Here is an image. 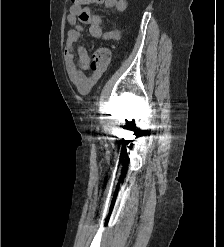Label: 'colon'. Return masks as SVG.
<instances>
[{
    "instance_id": "colon-1",
    "label": "colon",
    "mask_w": 224,
    "mask_h": 247,
    "mask_svg": "<svg viewBox=\"0 0 224 247\" xmlns=\"http://www.w3.org/2000/svg\"><path fill=\"white\" fill-rule=\"evenodd\" d=\"M72 5L81 6L83 0H70ZM111 60V48L108 45H102L93 53L90 68L92 71L103 72Z\"/></svg>"
}]
</instances>
